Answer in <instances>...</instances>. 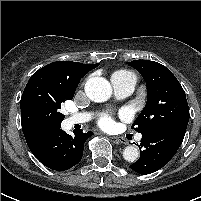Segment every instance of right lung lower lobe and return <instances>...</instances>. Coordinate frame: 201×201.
Listing matches in <instances>:
<instances>
[{
  "instance_id": "98d812e1",
  "label": "right lung lower lobe",
  "mask_w": 201,
  "mask_h": 201,
  "mask_svg": "<svg viewBox=\"0 0 201 201\" xmlns=\"http://www.w3.org/2000/svg\"><path fill=\"white\" fill-rule=\"evenodd\" d=\"M91 135V132L75 130L71 136L57 127L45 129L26 142L33 155L44 166L64 171L82 159L84 143Z\"/></svg>"
}]
</instances>
